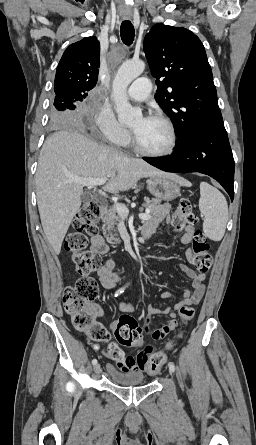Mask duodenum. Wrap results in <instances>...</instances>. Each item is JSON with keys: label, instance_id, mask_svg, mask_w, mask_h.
<instances>
[{"label": "duodenum", "instance_id": "410a0bca", "mask_svg": "<svg viewBox=\"0 0 256 445\" xmlns=\"http://www.w3.org/2000/svg\"><path fill=\"white\" fill-rule=\"evenodd\" d=\"M107 214V208L104 206L100 207V216L104 217Z\"/></svg>", "mask_w": 256, "mask_h": 445}]
</instances>
